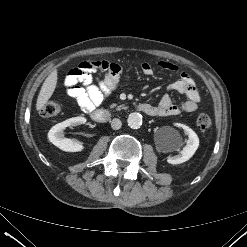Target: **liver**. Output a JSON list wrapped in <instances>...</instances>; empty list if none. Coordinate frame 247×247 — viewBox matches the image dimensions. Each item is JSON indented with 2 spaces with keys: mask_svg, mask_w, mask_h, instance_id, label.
Listing matches in <instances>:
<instances>
[{
  "mask_svg": "<svg viewBox=\"0 0 247 247\" xmlns=\"http://www.w3.org/2000/svg\"><path fill=\"white\" fill-rule=\"evenodd\" d=\"M57 84V70H53L45 79L39 92L36 109L41 110L52 96Z\"/></svg>",
  "mask_w": 247,
  "mask_h": 247,
  "instance_id": "6515ba94",
  "label": "liver"
}]
</instances>
